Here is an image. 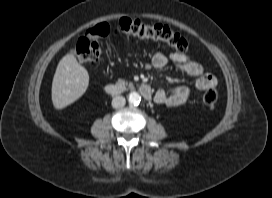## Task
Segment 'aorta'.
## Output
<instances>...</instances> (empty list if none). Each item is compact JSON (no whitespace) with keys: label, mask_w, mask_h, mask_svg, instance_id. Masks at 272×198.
I'll return each mask as SVG.
<instances>
[{"label":"aorta","mask_w":272,"mask_h":198,"mask_svg":"<svg viewBox=\"0 0 272 198\" xmlns=\"http://www.w3.org/2000/svg\"><path fill=\"white\" fill-rule=\"evenodd\" d=\"M128 101L132 105H138L141 101V96L137 92H131L128 96Z\"/></svg>","instance_id":"1"}]
</instances>
